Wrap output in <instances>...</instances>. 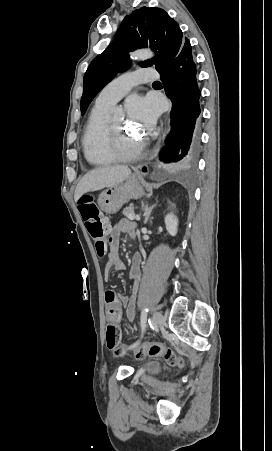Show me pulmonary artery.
<instances>
[{"label": "pulmonary artery", "mask_w": 272, "mask_h": 451, "mask_svg": "<svg viewBox=\"0 0 272 451\" xmlns=\"http://www.w3.org/2000/svg\"><path fill=\"white\" fill-rule=\"evenodd\" d=\"M156 74V71L150 65H142L138 70L131 68L127 74L120 76L102 90L96 99V103L101 105L114 104L124 98L134 85L139 83L147 85L153 79L155 80Z\"/></svg>", "instance_id": "pulmonary-artery-1"}]
</instances>
